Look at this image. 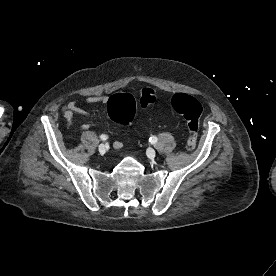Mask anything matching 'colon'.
Here are the masks:
<instances>
[{
  "label": "colon",
  "instance_id": "colon-1",
  "mask_svg": "<svg viewBox=\"0 0 276 276\" xmlns=\"http://www.w3.org/2000/svg\"><path fill=\"white\" fill-rule=\"evenodd\" d=\"M156 95L153 89L144 88L139 95L138 103L141 107H147L154 103ZM171 106L173 110L183 116L187 121L189 137L186 149L192 152L196 148V133L199 127V120L202 115V105L194 97L177 93L172 97ZM137 108V100L130 93H118L111 96L107 102L109 117L120 124L129 125L133 122Z\"/></svg>",
  "mask_w": 276,
  "mask_h": 276
}]
</instances>
